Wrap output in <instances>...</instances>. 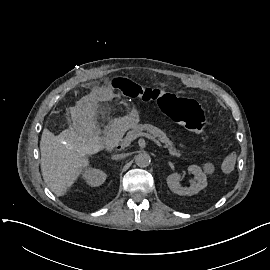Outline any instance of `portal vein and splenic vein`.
I'll return each instance as SVG.
<instances>
[{"label":"portal vein and splenic vein","instance_id":"1","mask_svg":"<svg viewBox=\"0 0 270 270\" xmlns=\"http://www.w3.org/2000/svg\"><path fill=\"white\" fill-rule=\"evenodd\" d=\"M144 137H146L147 139H151L157 146H160V142L157 140V138L155 137V136H150L148 133H146V132H144L143 134H142ZM162 149H163V147L162 146H160Z\"/></svg>","mask_w":270,"mask_h":270}]
</instances>
